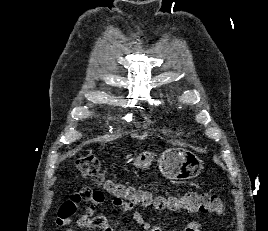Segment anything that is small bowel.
Returning <instances> with one entry per match:
<instances>
[{
    "label": "small bowel",
    "instance_id": "c3829d8e",
    "mask_svg": "<svg viewBox=\"0 0 268 231\" xmlns=\"http://www.w3.org/2000/svg\"><path fill=\"white\" fill-rule=\"evenodd\" d=\"M87 192L81 196L80 192ZM79 193L71 195L58 209L55 222L58 226L67 227L69 230L78 229H98L100 231H114L108 217L99 213L100 208L105 203V196L101 190L83 187ZM86 203V207L79 212L77 205ZM119 209L117 204H114ZM131 213L132 219L143 231H163L159 224H153L145 219L138 210L133 207L127 209ZM201 224L191 222L182 230L173 231H201Z\"/></svg>",
    "mask_w": 268,
    "mask_h": 231
}]
</instances>
